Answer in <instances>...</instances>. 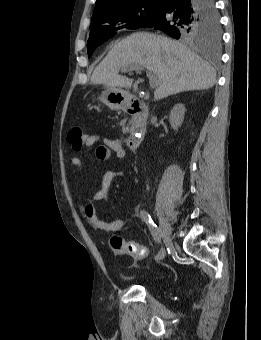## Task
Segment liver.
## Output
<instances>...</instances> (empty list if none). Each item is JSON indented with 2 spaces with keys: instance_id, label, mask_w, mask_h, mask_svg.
I'll return each instance as SVG.
<instances>
[{
  "instance_id": "obj_1",
  "label": "liver",
  "mask_w": 261,
  "mask_h": 340,
  "mask_svg": "<svg viewBox=\"0 0 261 340\" xmlns=\"http://www.w3.org/2000/svg\"><path fill=\"white\" fill-rule=\"evenodd\" d=\"M134 65L143 66L157 76L156 100L183 91L209 89L216 82L211 65L186 46L146 32L133 33L117 43L95 68L90 82L110 88H130L132 79L118 73Z\"/></svg>"
}]
</instances>
